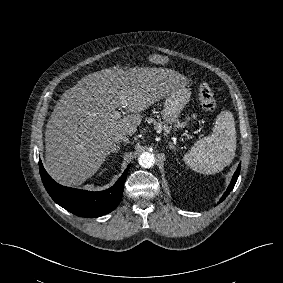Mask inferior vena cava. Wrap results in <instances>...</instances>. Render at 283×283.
Wrapping results in <instances>:
<instances>
[{"label":"inferior vena cava","instance_id":"obj_1","mask_svg":"<svg viewBox=\"0 0 283 283\" xmlns=\"http://www.w3.org/2000/svg\"><path fill=\"white\" fill-rule=\"evenodd\" d=\"M114 141L115 142H125V143H128L129 142V139L123 135V134H118L114 137Z\"/></svg>","mask_w":283,"mask_h":283}]
</instances>
